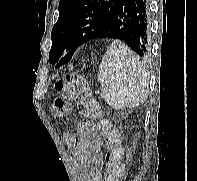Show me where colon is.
Wrapping results in <instances>:
<instances>
[{
	"label": "colon",
	"instance_id": "obj_1",
	"mask_svg": "<svg viewBox=\"0 0 197 181\" xmlns=\"http://www.w3.org/2000/svg\"><path fill=\"white\" fill-rule=\"evenodd\" d=\"M56 97L53 101L54 115H67L71 112V102L77 103L78 110L87 118L97 119L101 116L98 103L91 97L82 77L79 74H69L64 79L54 83ZM100 129L106 134V173L104 181H120L124 174L121 161L123 150L117 130L112 129L107 120L100 121Z\"/></svg>",
	"mask_w": 197,
	"mask_h": 181
}]
</instances>
